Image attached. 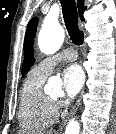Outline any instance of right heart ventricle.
<instances>
[{
  "label": "right heart ventricle",
  "instance_id": "e07e8e85",
  "mask_svg": "<svg viewBox=\"0 0 116 134\" xmlns=\"http://www.w3.org/2000/svg\"><path fill=\"white\" fill-rule=\"evenodd\" d=\"M47 76L33 67L25 77L18 111L19 123L25 129L43 130L57 118L55 103L43 91Z\"/></svg>",
  "mask_w": 116,
  "mask_h": 134
}]
</instances>
